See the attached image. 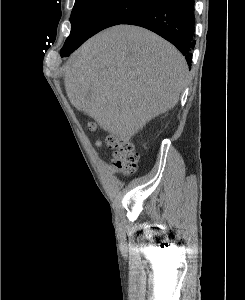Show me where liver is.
<instances>
[{
  "label": "liver",
  "instance_id": "liver-1",
  "mask_svg": "<svg viewBox=\"0 0 245 300\" xmlns=\"http://www.w3.org/2000/svg\"><path fill=\"white\" fill-rule=\"evenodd\" d=\"M187 78L172 44L147 29L117 25L73 53L65 88L75 108L125 141L178 103Z\"/></svg>",
  "mask_w": 245,
  "mask_h": 300
}]
</instances>
